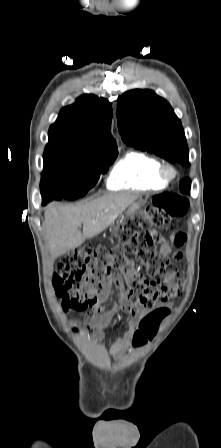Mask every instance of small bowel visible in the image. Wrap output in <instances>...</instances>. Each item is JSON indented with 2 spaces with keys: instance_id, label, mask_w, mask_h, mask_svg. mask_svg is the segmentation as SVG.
Listing matches in <instances>:
<instances>
[{
  "instance_id": "small-bowel-1",
  "label": "small bowel",
  "mask_w": 221,
  "mask_h": 448,
  "mask_svg": "<svg viewBox=\"0 0 221 448\" xmlns=\"http://www.w3.org/2000/svg\"><path fill=\"white\" fill-rule=\"evenodd\" d=\"M186 241H187L186 232L177 231L175 233H172L167 238L161 241L160 252L163 255H169L171 253L172 246H175L176 248L180 249L181 247L184 246ZM173 257L176 260H180L182 258V252L180 250L174 252ZM117 289H118L117 303L114 304L110 303V297L113 293V289L108 285L105 291L99 295L97 302L95 303L94 306H92L91 311L87 315V323L88 326L93 330L94 341H100L103 338L104 328L114 321V319L117 317L120 311L122 310L134 311V318L123 323L125 327V332L116 340V342L110 348V354L115 358L121 357L123 353L129 348L131 343L134 346H139L146 341L148 337L143 336L138 343H134V335L138 330L139 322L152 313L151 311L146 310L140 306L137 305L133 306L127 299L126 291L121 285H118ZM167 314L168 310L167 313L162 318L159 319L158 323Z\"/></svg>"
}]
</instances>
